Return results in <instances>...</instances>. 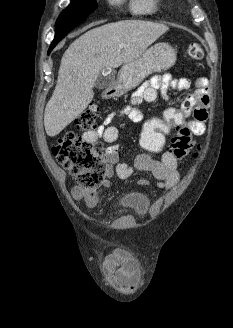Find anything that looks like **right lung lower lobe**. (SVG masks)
<instances>
[{
  "label": "right lung lower lobe",
  "instance_id": "98d812e1",
  "mask_svg": "<svg viewBox=\"0 0 233 328\" xmlns=\"http://www.w3.org/2000/svg\"><path fill=\"white\" fill-rule=\"evenodd\" d=\"M81 22L82 21L56 22L57 32L48 52H50L61 39H63L75 26L79 25Z\"/></svg>",
  "mask_w": 233,
  "mask_h": 328
}]
</instances>
